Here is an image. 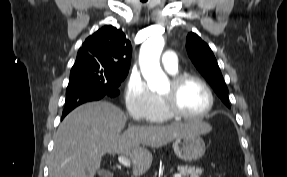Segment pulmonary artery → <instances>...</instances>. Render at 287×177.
<instances>
[{
  "label": "pulmonary artery",
  "instance_id": "pulmonary-artery-1",
  "mask_svg": "<svg viewBox=\"0 0 287 177\" xmlns=\"http://www.w3.org/2000/svg\"><path fill=\"white\" fill-rule=\"evenodd\" d=\"M162 65L170 73L178 70V60L175 51L170 49L165 51L162 57Z\"/></svg>",
  "mask_w": 287,
  "mask_h": 177
}]
</instances>
